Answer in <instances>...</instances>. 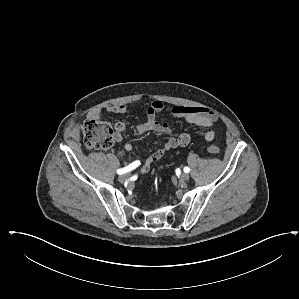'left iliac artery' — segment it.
Returning a JSON list of instances; mask_svg holds the SVG:
<instances>
[{
    "mask_svg": "<svg viewBox=\"0 0 299 299\" xmlns=\"http://www.w3.org/2000/svg\"><path fill=\"white\" fill-rule=\"evenodd\" d=\"M189 171H190V168H189V167H184V172H185V173H189Z\"/></svg>",
    "mask_w": 299,
    "mask_h": 299,
    "instance_id": "left-iliac-artery-1",
    "label": "left iliac artery"
}]
</instances>
